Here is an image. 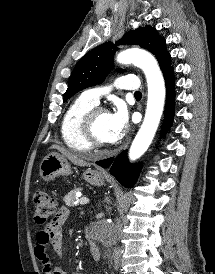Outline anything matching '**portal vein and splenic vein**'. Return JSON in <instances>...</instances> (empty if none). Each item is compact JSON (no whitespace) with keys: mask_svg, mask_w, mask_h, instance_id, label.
I'll return each mask as SVG.
<instances>
[{"mask_svg":"<svg viewBox=\"0 0 215 274\" xmlns=\"http://www.w3.org/2000/svg\"><path fill=\"white\" fill-rule=\"evenodd\" d=\"M79 203L81 205H85V204L89 203V199L86 197H82V198H80Z\"/></svg>","mask_w":215,"mask_h":274,"instance_id":"1","label":"portal vein and splenic vein"}]
</instances>
